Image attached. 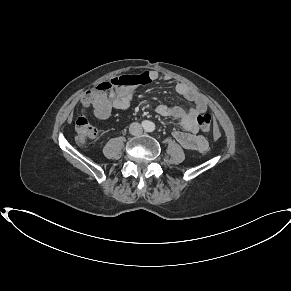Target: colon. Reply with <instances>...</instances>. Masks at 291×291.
I'll list each match as a JSON object with an SVG mask.
<instances>
[{
	"label": "colon",
	"instance_id": "obj_1",
	"mask_svg": "<svg viewBox=\"0 0 291 291\" xmlns=\"http://www.w3.org/2000/svg\"><path fill=\"white\" fill-rule=\"evenodd\" d=\"M140 81L139 76L121 75L107 81L100 82L95 86L91 97L83 99L84 107L92 106L93 100L103 99L106 93L113 88L129 87ZM197 123L203 132H210L213 125V120L210 114H203L197 118ZM76 140L81 145H87L93 142L97 137L96 129L90 124L84 113L80 114L75 122Z\"/></svg>",
	"mask_w": 291,
	"mask_h": 291
}]
</instances>
